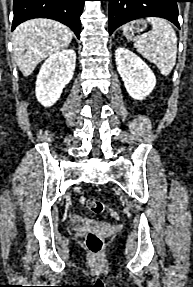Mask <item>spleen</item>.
Masks as SVG:
<instances>
[{
  "mask_svg": "<svg viewBox=\"0 0 193 287\" xmlns=\"http://www.w3.org/2000/svg\"><path fill=\"white\" fill-rule=\"evenodd\" d=\"M152 29L134 38V47L147 60L154 63L164 76L169 75L176 63L177 37L173 27L162 18L147 19ZM145 22V21H143ZM133 23L123 27L127 40L131 39L129 29Z\"/></svg>",
  "mask_w": 193,
  "mask_h": 287,
  "instance_id": "obj_1",
  "label": "spleen"
}]
</instances>
